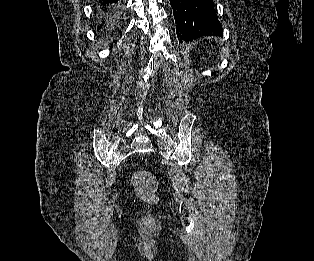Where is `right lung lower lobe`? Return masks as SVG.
<instances>
[{
	"instance_id": "right-lung-lower-lobe-1",
	"label": "right lung lower lobe",
	"mask_w": 314,
	"mask_h": 261,
	"mask_svg": "<svg viewBox=\"0 0 314 261\" xmlns=\"http://www.w3.org/2000/svg\"><path fill=\"white\" fill-rule=\"evenodd\" d=\"M119 0H98V12L101 17V25L98 26V30L102 27L112 29L118 18V3Z\"/></svg>"
}]
</instances>
